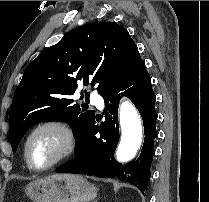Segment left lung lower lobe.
I'll return each mask as SVG.
<instances>
[{
  "label": "left lung lower lobe",
  "instance_id": "left-lung-lower-lobe-1",
  "mask_svg": "<svg viewBox=\"0 0 209 202\" xmlns=\"http://www.w3.org/2000/svg\"><path fill=\"white\" fill-rule=\"evenodd\" d=\"M121 90L123 93L118 94ZM121 95L131 99L143 118L145 140L142 152L137 160L122 166L114 158V151L119 140L118 103ZM105 122L95 125L94 118L86 134L75 144L76 158L56 169L58 173H76L94 175L101 178L116 177L138 187L147 189L150 179V165L154 150V139L157 136L155 123V94L151 88V78L143 62L105 94ZM98 121V120H97Z\"/></svg>",
  "mask_w": 209,
  "mask_h": 202
}]
</instances>
